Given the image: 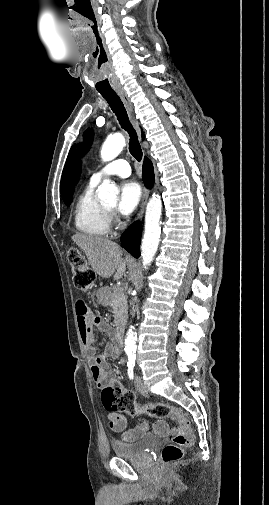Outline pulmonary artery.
Returning a JSON list of instances; mask_svg holds the SVG:
<instances>
[{"label":"pulmonary artery","mask_w":269,"mask_h":505,"mask_svg":"<svg viewBox=\"0 0 269 505\" xmlns=\"http://www.w3.org/2000/svg\"><path fill=\"white\" fill-rule=\"evenodd\" d=\"M130 173L129 163L124 159H116L95 172L90 181L97 184L105 177L113 175L128 177Z\"/></svg>","instance_id":"1"}]
</instances>
